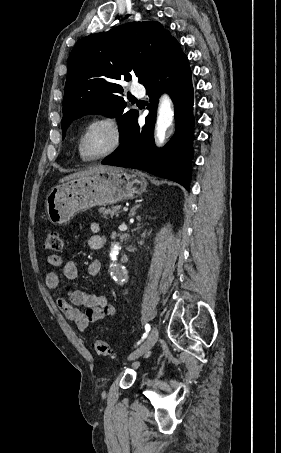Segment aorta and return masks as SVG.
<instances>
[{
	"mask_svg": "<svg viewBox=\"0 0 281 453\" xmlns=\"http://www.w3.org/2000/svg\"><path fill=\"white\" fill-rule=\"evenodd\" d=\"M174 119V111L172 109V101L168 94H163L159 101L158 115L155 128V141L157 145H162L166 138V132L172 125ZM121 247L115 244L111 249L110 257L112 260H117ZM111 277L115 283L122 285L128 279V273L125 267L116 268L112 272Z\"/></svg>",
	"mask_w": 281,
	"mask_h": 453,
	"instance_id": "aorta-1",
	"label": "aorta"
}]
</instances>
